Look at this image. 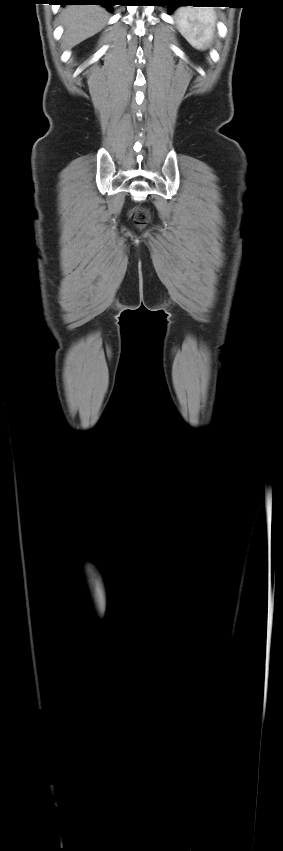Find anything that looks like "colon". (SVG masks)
Instances as JSON below:
<instances>
[{"mask_svg":"<svg viewBox=\"0 0 283 851\" xmlns=\"http://www.w3.org/2000/svg\"><path fill=\"white\" fill-rule=\"evenodd\" d=\"M132 215H133L135 223L139 226L145 225L149 221V218H150L149 212L146 209H143V208L134 209L132 211Z\"/></svg>","mask_w":283,"mask_h":851,"instance_id":"5ec220e1","label":"colon"}]
</instances>
